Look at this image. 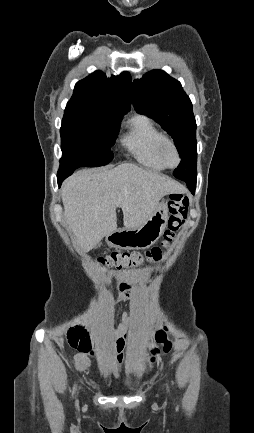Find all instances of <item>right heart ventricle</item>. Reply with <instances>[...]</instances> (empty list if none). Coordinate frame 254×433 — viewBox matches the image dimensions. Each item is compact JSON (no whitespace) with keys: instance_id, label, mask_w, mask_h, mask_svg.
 Instances as JSON below:
<instances>
[{"instance_id":"obj_1","label":"right heart ventricle","mask_w":254,"mask_h":433,"mask_svg":"<svg viewBox=\"0 0 254 433\" xmlns=\"http://www.w3.org/2000/svg\"><path fill=\"white\" fill-rule=\"evenodd\" d=\"M163 137V133L150 118L137 115L130 119L122 143L139 164L161 171L166 167L157 156V145Z\"/></svg>"}]
</instances>
